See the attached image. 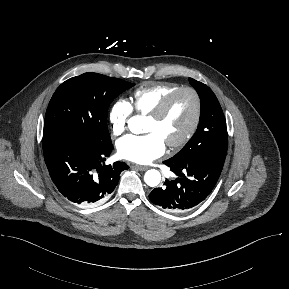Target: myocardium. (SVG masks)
<instances>
[{
  "label": "myocardium",
  "instance_id": "f54148a6",
  "mask_svg": "<svg viewBox=\"0 0 289 289\" xmlns=\"http://www.w3.org/2000/svg\"><path fill=\"white\" fill-rule=\"evenodd\" d=\"M182 92H189L194 97L195 113H194L192 123H191L190 127L188 128V130L185 132V134L180 139L166 144L170 149L181 148L182 146L187 144L190 141V139L194 136V134L196 133V131L199 127L201 115H202V101H201V97H200L199 93L197 92L196 89L189 87V86L179 87V88L175 89L174 91H172L171 93H169L159 103V105L152 112H150L148 114V118H151L153 120L161 119L168 111L173 99L178 94H180Z\"/></svg>",
  "mask_w": 289,
  "mask_h": 289
}]
</instances>
